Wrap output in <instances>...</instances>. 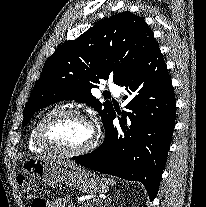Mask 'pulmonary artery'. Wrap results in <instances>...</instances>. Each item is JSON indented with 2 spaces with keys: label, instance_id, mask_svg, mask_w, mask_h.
<instances>
[{
  "label": "pulmonary artery",
  "instance_id": "1",
  "mask_svg": "<svg viewBox=\"0 0 206 207\" xmlns=\"http://www.w3.org/2000/svg\"><path fill=\"white\" fill-rule=\"evenodd\" d=\"M109 88H110L113 95H115L116 97L120 96L121 88L119 86L111 84V85H109Z\"/></svg>",
  "mask_w": 206,
  "mask_h": 207
}]
</instances>
